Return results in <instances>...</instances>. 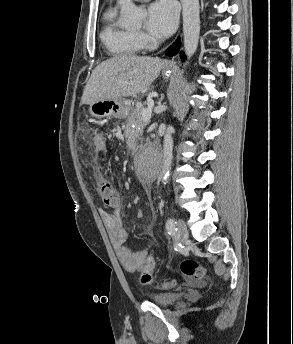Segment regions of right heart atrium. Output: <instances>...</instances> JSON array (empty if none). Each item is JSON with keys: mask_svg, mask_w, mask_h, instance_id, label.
I'll list each match as a JSON object with an SVG mask.
<instances>
[{"mask_svg": "<svg viewBox=\"0 0 293 344\" xmlns=\"http://www.w3.org/2000/svg\"><path fill=\"white\" fill-rule=\"evenodd\" d=\"M135 38L141 47H146L151 44V39L143 32H136Z\"/></svg>", "mask_w": 293, "mask_h": 344, "instance_id": "d8ad5b80", "label": "right heart atrium"}]
</instances>
